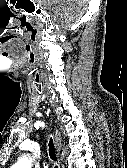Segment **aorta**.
I'll use <instances>...</instances> for the list:
<instances>
[{"label":"aorta","mask_w":127,"mask_h":168,"mask_svg":"<svg viewBox=\"0 0 127 168\" xmlns=\"http://www.w3.org/2000/svg\"><path fill=\"white\" fill-rule=\"evenodd\" d=\"M32 163L28 157H22L12 168H31Z\"/></svg>","instance_id":"1"}]
</instances>
